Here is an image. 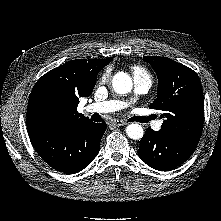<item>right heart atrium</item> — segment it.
I'll return each mask as SVG.
<instances>
[{"instance_id":"1","label":"right heart atrium","mask_w":221,"mask_h":221,"mask_svg":"<svg viewBox=\"0 0 221 221\" xmlns=\"http://www.w3.org/2000/svg\"><path fill=\"white\" fill-rule=\"evenodd\" d=\"M108 77H109V71H105L100 77V82L101 83L106 82L108 80Z\"/></svg>"}]
</instances>
